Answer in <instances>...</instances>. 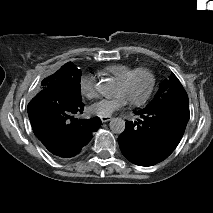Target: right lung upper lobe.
Returning a JSON list of instances; mask_svg holds the SVG:
<instances>
[{"label": "right lung upper lobe", "mask_w": 213, "mask_h": 213, "mask_svg": "<svg viewBox=\"0 0 213 213\" xmlns=\"http://www.w3.org/2000/svg\"><path fill=\"white\" fill-rule=\"evenodd\" d=\"M66 64L73 65V63H72V62H68V63H66Z\"/></svg>", "instance_id": "cb5924a9"}]
</instances>
